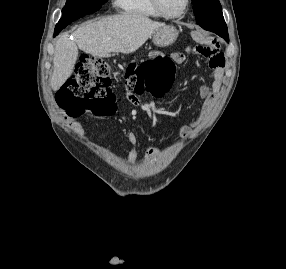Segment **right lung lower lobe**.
Here are the masks:
<instances>
[{
	"mask_svg": "<svg viewBox=\"0 0 286 269\" xmlns=\"http://www.w3.org/2000/svg\"><path fill=\"white\" fill-rule=\"evenodd\" d=\"M59 32H60V31H54V37H55L56 35H58Z\"/></svg>",
	"mask_w": 286,
	"mask_h": 269,
	"instance_id": "98d812e1",
	"label": "right lung lower lobe"
}]
</instances>
